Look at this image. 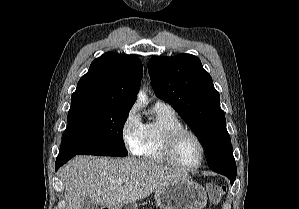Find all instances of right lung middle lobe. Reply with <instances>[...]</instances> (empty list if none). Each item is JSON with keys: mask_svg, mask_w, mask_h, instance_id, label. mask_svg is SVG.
<instances>
[{"mask_svg": "<svg viewBox=\"0 0 299 209\" xmlns=\"http://www.w3.org/2000/svg\"><path fill=\"white\" fill-rule=\"evenodd\" d=\"M128 115L126 109L70 107L59 154L126 156L122 134Z\"/></svg>", "mask_w": 299, "mask_h": 209, "instance_id": "1", "label": "right lung middle lobe"}]
</instances>
